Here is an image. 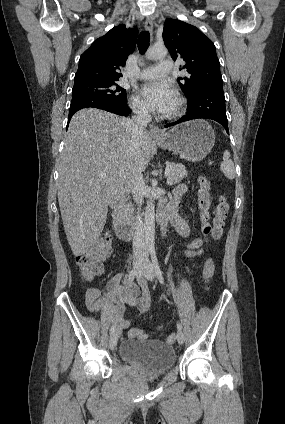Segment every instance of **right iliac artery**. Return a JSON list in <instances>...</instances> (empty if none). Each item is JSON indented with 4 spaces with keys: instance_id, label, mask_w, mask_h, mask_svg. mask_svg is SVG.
I'll return each mask as SVG.
<instances>
[{
    "instance_id": "82829eb1",
    "label": "right iliac artery",
    "mask_w": 285,
    "mask_h": 424,
    "mask_svg": "<svg viewBox=\"0 0 285 424\" xmlns=\"http://www.w3.org/2000/svg\"><path fill=\"white\" fill-rule=\"evenodd\" d=\"M135 276H136V272H135V270L133 269V270H131V271H130V273L126 276V278H127V284H132V283H133V280H134V278H135ZM115 330H116V325H115V324H113V325L111 326V328H110V334H113V333L115 332Z\"/></svg>"
}]
</instances>
